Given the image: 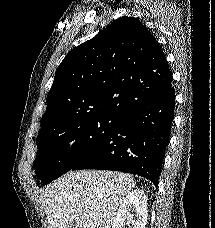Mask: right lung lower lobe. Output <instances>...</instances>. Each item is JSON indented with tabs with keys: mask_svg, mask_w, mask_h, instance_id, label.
<instances>
[{
	"mask_svg": "<svg viewBox=\"0 0 215 228\" xmlns=\"http://www.w3.org/2000/svg\"><path fill=\"white\" fill-rule=\"evenodd\" d=\"M172 76L157 96L128 109L120 121L71 170L99 169L143 176L158 187L174 119Z\"/></svg>",
	"mask_w": 215,
	"mask_h": 228,
	"instance_id": "right-lung-lower-lobe-1",
	"label": "right lung lower lobe"
}]
</instances>
